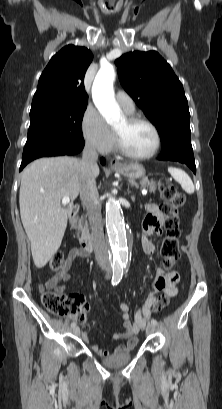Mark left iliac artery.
<instances>
[{
	"instance_id": "left-iliac-artery-1",
	"label": "left iliac artery",
	"mask_w": 222,
	"mask_h": 409,
	"mask_svg": "<svg viewBox=\"0 0 222 409\" xmlns=\"http://www.w3.org/2000/svg\"><path fill=\"white\" fill-rule=\"evenodd\" d=\"M151 323H152L153 325H155V326L158 324L157 320H155V319H152V320H151Z\"/></svg>"
}]
</instances>
